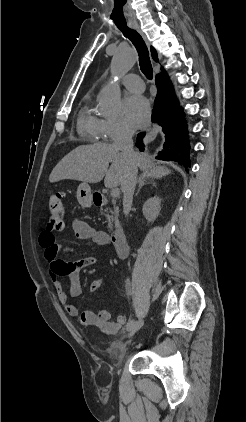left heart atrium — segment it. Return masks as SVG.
Returning <instances> with one entry per match:
<instances>
[{
	"mask_svg": "<svg viewBox=\"0 0 246 422\" xmlns=\"http://www.w3.org/2000/svg\"><path fill=\"white\" fill-rule=\"evenodd\" d=\"M125 120L133 127L141 128L149 123L150 105L141 95H130L123 103Z\"/></svg>",
	"mask_w": 246,
	"mask_h": 422,
	"instance_id": "obj_1",
	"label": "left heart atrium"
}]
</instances>
